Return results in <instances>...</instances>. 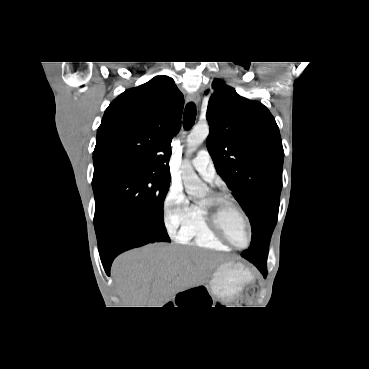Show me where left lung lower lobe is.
Listing matches in <instances>:
<instances>
[{
    "instance_id": "obj_1",
    "label": "left lung lower lobe",
    "mask_w": 369,
    "mask_h": 369,
    "mask_svg": "<svg viewBox=\"0 0 369 369\" xmlns=\"http://www.w3.org/2000/svg\"><path fill=\"white\" fill-rule=\"evenodd\" d=\"M251 263H253L259 271L263 274L264 277L267 275V269H266V262L261 260H250Z\"/></svg>"
}]
</instances>
